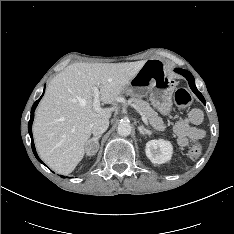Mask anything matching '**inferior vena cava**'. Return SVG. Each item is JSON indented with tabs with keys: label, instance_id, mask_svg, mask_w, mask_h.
I'll use <instances>...</instances> for the list:
<instances>
[{
	"label": "inferior vena cava",
	"instance_id": "1",
	"mask_svg": "<svg viewBox=\"0 0 234 234\" xmlns=\"http://www.w3.org/2000/svg\"><path fill=\"white\" fill-rule=\"evenodd\" d=\"M108 126H109L108 119H99L92 124L91 131L95 136L101 135L107 130Z\"/></svg>",
	"mask_w": 234,
	"mask_h": 234
}]
</instances>
